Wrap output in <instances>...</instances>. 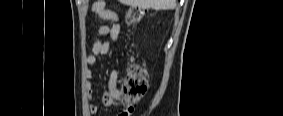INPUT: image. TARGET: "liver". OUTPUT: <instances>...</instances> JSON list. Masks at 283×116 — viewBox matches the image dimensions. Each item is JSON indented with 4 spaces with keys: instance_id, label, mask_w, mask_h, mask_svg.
I'll return each mask as SVG.
<instances>
[{
    "instance_id": "1",
    "label": "liver",
    "mask_w": 283,
    "mask_h": 116,
    "mask_svg": "<svg viewBox=\"0 0 283 116\" xmlns=\"http://www.w3.org/2000/svg\"><path fill=\"white\" fill-rule=\"evenodd\" d=\"M122 4L139 6L141 8H152L155 10L174 9L176 0H119Z\"/></svg>"
}]
</instances>
